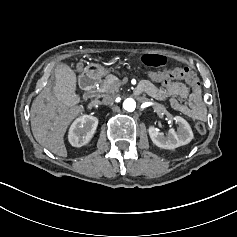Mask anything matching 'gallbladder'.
I'll use <instances>...</instances> for the list:
<instances>
[{"label": "gallbladder", "instance_id": "gallbladder-1", "mask_svg": "<svg viewBox=\"0 0 237 237\" xmlns=\"http://www.w3.org/2000/svg\"><path fill=\"white\" fill-rule=\"evenodd\" d=\"M55 94L60 102L71 104L75 98L74 75L71 66L62 65L57 70Z\"/></svg>", "mask_w": 237, "mask_h": 237}]
</instances>
